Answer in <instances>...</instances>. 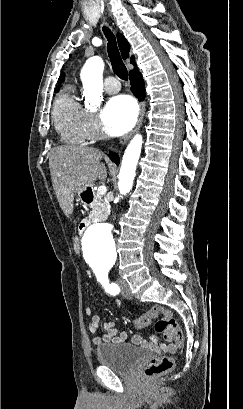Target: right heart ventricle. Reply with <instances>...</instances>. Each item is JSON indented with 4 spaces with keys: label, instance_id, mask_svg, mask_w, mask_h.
I'll return each instance as SVG.
<instances>
[{
    "label": "right heart ventricle",
    "instance_id": "1",
    "mask_svg": "<svg viewBox=\"0 0 243 409\" xmlns=\"http://www.w3.org/2000/svg\"><path fill=\"white\" fill-rule=\"evenodd\" d=\"M84 111L71 86L66 87L56 98L52 113L53 122L66 143L81 144L86 140L83 127Z\"/></svg>",
    "mask_w": 243,
    "mask_h": 409
}]
</instances>
